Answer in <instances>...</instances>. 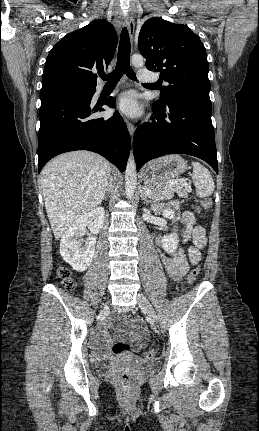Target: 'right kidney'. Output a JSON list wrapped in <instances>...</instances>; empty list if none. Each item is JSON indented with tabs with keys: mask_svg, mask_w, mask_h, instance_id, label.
Wrapping results in <instances>:
<instances>
[{
	"mask_svg": "<svg viewBox=\"0 0 259 431\" xmlns=\"http://www.w3.org/2000/svg\"><path fill=\"white\" fill-rule=\"evenodd\" d=\"M105 217L103 207H97L79 217L64 233L60 241L62 258L78 272L87 270L90 266L96 244V237L89 235L85 245L81 244V236L88 226L92 234H98L102 229Z\"/></svg>",
	"mask_w": 259,
	"mask_h": 431,
	"instance_id": "ca27d5eb",
	"label": "right kidney"
}]
</instances>
